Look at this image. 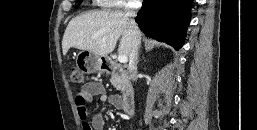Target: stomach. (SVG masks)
<instances>
[{
	"label": "stomach",
	"mask_w": 257,
	"mask_h": 130,
	"mask_svg": "<svg viewBox=\"0 0 257 130\" xmlns=\"http://www.w3.org/2000/svg\"><path fill=\"white\" fill-rule=\"evenodd\" d=\"M106 60V57L98 56L87 50L79 52L77 56L79 66L88 74L103 71Z\"/></svg>",
	"instance_id": "0dacf381"
}]
</instances>
